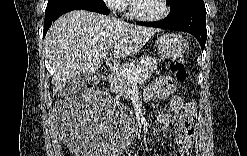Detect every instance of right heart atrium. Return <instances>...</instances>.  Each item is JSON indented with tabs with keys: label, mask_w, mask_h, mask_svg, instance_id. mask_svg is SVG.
I'll list each match as a JSON object with an SVG mask.
<instances>
[{
	"label": "right heart atrium",
	"mask_w": 247,
	"mask_h": 156,
	"mask_svg": "<svg viewBox=\"0 0 247 156\" xmlns=\"http://www.w3.org/2000/svg\"><path fill=\"white\" fill-rule=\"evenodd\" d=\"M106 4L117 13L123 12L126 6V2L124 0H108Z\"/></svg>",
	"instance_id": "1"
}]
</instances>
